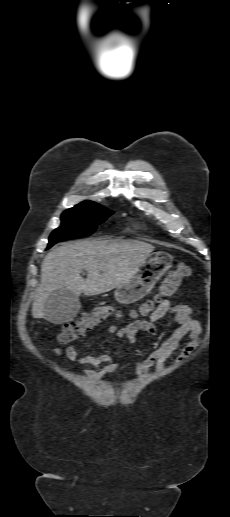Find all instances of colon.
Masks as SVG:
<instances>
[{"mask_svg":"<svg viewBox=\"0 0 230 517\" xmlns=\"http://www.w3.org/2000/svg\"><path fill=\"white\" fill-rule=\"evenodd\" d=\"M191 275V269L185 264H180L174 270H171L163 280L158 293L145 300L139 307L138 314L147 315L151 313L155 306L163 299L175 294L184 279ZM114 313L111 306H98L90 312H86L76 320L67 322L57 337L61 343L67 344L82 339L95 326L102 323Z\"/></svg>","mask_w":230,"mask_h":517,"instance_id":"1","label":"colon"}]
</instances>
